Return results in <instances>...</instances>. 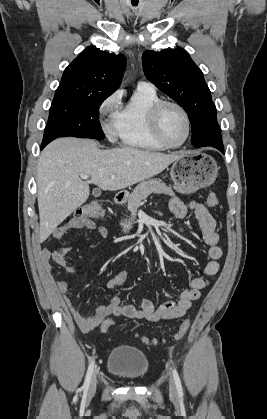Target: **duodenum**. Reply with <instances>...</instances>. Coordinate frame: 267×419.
I'll use <instances>...</instances> for the list:
<instances>
[{
    "mask_svg": "<svg viewBox=\"0 0 267 419\" xmlns=\"http://www.w3.org/2000/svg\"><path fill=\"white\" fill-rule=\"evenodd\" d=\"M113 201H114V203L116 205H120V204H122L124 202V196L123 195H116L114 197V200Z\"/></svg>",
    "mask_w": 267,
    "mask_h": 419,
    "instance_id": "410a0bca",
    "label": "duodenum"
}]
</instances>
